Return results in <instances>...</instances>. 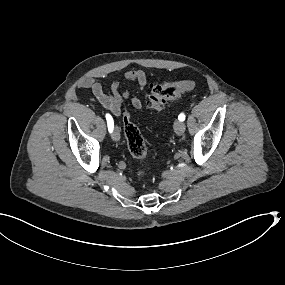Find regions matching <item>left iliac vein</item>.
Masks as SVG:
<instances>
[{
    "label": "left iliac vein",
    "instance_id": "1",
    "mask_svg": "<svg viewBox=\"0 0 285 285\" xmlns=\"http://www.w3.org/2000/svg\"><path fill=\"white\" fill-rule=\"evenodd\" d=\"M174 131L176 134L181 135L185 132V123L182 121H175L174 123Z\"/></svg>",
    "mask_w": 285,
    "mask_h": 285
}]
</instances>
